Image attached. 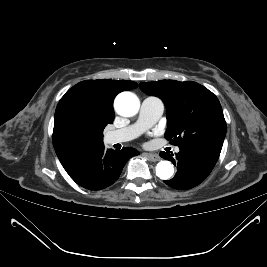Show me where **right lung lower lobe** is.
Returning a JSON list of instances; mask_svg holds the SVG:
<instances>
[{"instance_id": "right-lung-lower-lobe-1", "label": "right lung lower lobe", "mask_w": 267, "mask_h": 267, "mask_svg": "<svg viewBox=\"0 0 267 267\" xmlns=\"http://www.w3.org/2000/svg\"><path fill=\"white\" fill-rule=\"evenodd\" d=\"M138 154L139 151L131 147L115 151L99 143L77 152L62 165L78 185L88 190H101L111 186L128 159Z\"/></svg>"}]
</instances>
